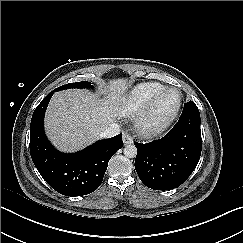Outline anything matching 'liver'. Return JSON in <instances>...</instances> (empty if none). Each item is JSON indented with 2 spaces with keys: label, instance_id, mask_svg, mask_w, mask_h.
Listing matches in <instances>:
<instances>
[{
  "label": "liver",
  "instance_id": "1",
  "mask_svg": "<svg viewBox=\"0 0 243 243\" xmlns=\"http://www.w3.org/2000/svg\"><path fill=\"white\" fill-rule=\"evenodd\" d=\"M127 87V79L110 80L100 88L104 95L101 99L86 90L56 92L44 120L49 139L64 152L78 151L94 143L115 121Z\"/></svg>",
  "mask_w": 243,
  "mask_h": 243
}]
</instances>
